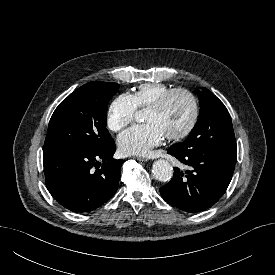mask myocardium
Instances as JSON below:
<instances>
[{"label":"myocardium","instance_id":"f54148a6","mask_svg":"<svg viewBox=\"0 0 275 275\" xmlns=\"http://www.w3.org/2000/svg\"><path fill=\"white\" fill-rule=\"evenodd\" d=\"M179 93L184 94L189 98L192 105V115L188 125L182 131L165 136V138L169 141H180L188 137L195 129L199 119V103L196 95L187 88H183V87L173 88L167 91L166 93H164L156 102H154L148 108L149 110H155V111L162 110L166 106L170 98Z\"/></svg>","mask_w":275,"mask_h":275}]
</instances>
